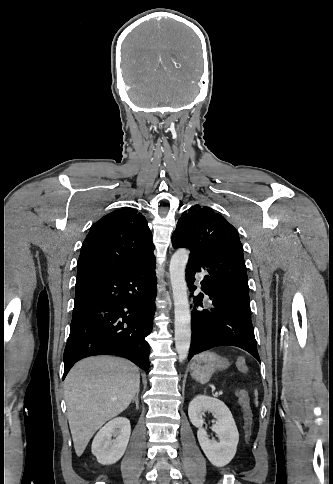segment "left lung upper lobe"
<instances>
[{"mask_svg":"<svg viewBox=\"0 0 333 484\" xmlns=\"http://www.w3.org/2000/svg\"><path fill=\"white\" fill-rule=\"evenodd\" d=\"M177 238L191 249H201L223 240H235L242 249L237 230L223 216L206 206L195 205L181 215L172 236V245Z\"/></svg>","mask_w":333,"mask_h":484,"instance_id":"5c2ea615","label":"left lung upper lobe"}]
</instances>
